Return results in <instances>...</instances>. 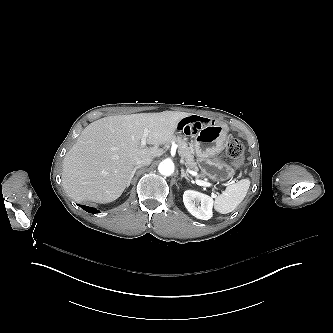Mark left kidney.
Masks as SVG:
<instances>
[{
    "label": "left kidney",
    "instance_id": "5707ae66",
    "mask_svg": "<svg viewBox=\"0 0 333 333\" xmlns=\"http://www.w3.org/2000/svg\"><path fill=\"white\" fill-rule=\"evenodd\" d=\"M183 203L186 209L198 219L209 220L213 216V199L206 194L186 190L183 194Z\"/></svg>",
    "mask_w": 333,
    "mask_h": 333
}]
</instances>
